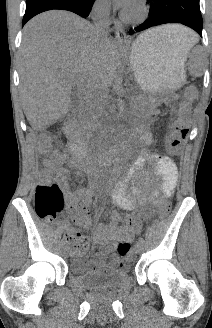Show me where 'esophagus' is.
I'll return each instance as SVG.
<instances>
[{"label":"esophagus","mask_w":212,"mask_h":328,"mask_svg":"<svg viewBox=\"0 0 212 328\" xmlns=\"http://www.w3.org/2000/svg\"><path fill=\"white\" fill-rule=\"evenodd\" d=\"M114 33L115 37L119 42H125L126 41V34L124 31V28L122 24L117 20L114 19Z\"/></svg>","instance_id":"obj_1"}]
</instances>
